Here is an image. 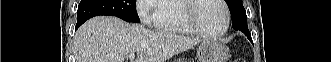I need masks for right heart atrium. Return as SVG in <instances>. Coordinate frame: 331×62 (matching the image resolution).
Here are the masks:
<instances>
[{"mask_svg": "<svg viewBox=\"0 0 331 62\" xmlns=\"http://www.w3.org/2000/svg\"><path fill=\"white\" fill-rule=\"evenodd\" d=\"M163 0H138L137 11L141 21L148 25H155V11Z\"/></svg>", "mask_w": 331, "mask_h": 62, "instance_id": "obj_1", "label": "right heart atrium"}]
</instances>
